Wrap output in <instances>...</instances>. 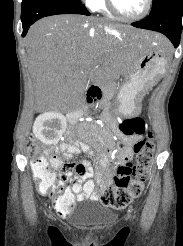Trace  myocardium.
Returning a JSON list of instances; mask_svg holds the SVG:
<instances>
[{
    "label": "myocardium",
    "instance_id": "f54148a6",
    "mask_svg": "<svg viewBox=\"0 0 183 246\" xmlns=\"http://www.w3.org/2000/svg\"><path fill=\"white\" fill-rule=\"evenodd\" d=\"M105 1H106V4H107L109 11L115 17H117L120 20L127 21V22H135V21H139V20L145 18L148 15V13L150 12L151 7H152V3H153V0H146V5H145L144 10L137 16L129 17V16L123 15L118 10L114 0H105Z\"/></svg>",
    "mask_w": 183,
    "mask_h": 246
}]
</instances>
